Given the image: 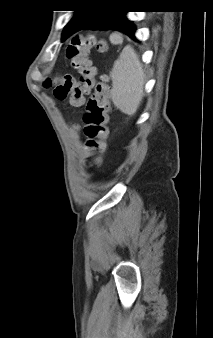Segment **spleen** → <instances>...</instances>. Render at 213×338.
I'll use <instances>...</instances> for the list:
<instances>
[{
  "label": "spleen",
  "mask_w": 213,
  "mask_h": 338,
  "mask_svg": "<svg viewBox=\"0 0 213 338\" xmlns=\"http://www.w3.org/2000/svg\"><path fill=\"white\" fill-rule=\"evenodd\" d=\"M112 101L117 109L134 115L144 96L145 73L131 45L124 47L110 72Z\"/></svg>",
  "instance_id": "1"
}]
</instances>
